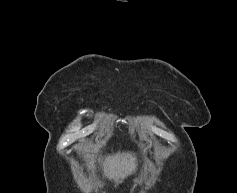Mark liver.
<instances>
[{
  "label": "liver",
  "mask_w": 237,
  "mask_h": 193,
  "mask_svg": "<svg viewBox=\"0 0 237 193\" xmlns=\"http://www.w3.org/2000/svg\"><path fill=\"white\" fill-rule=\"evenodd\" d=\"M104 174L117 183L119 178L125 179L131 175L136 167V158L131 153H116L109 155L102 163Z\"/></svg>",
  "instance_id": "6515ba94"
}]
</instances>
